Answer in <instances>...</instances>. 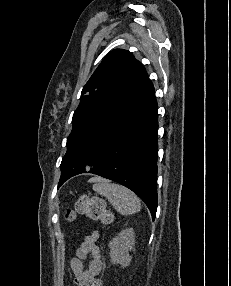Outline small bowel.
Wrapping results in <instances>:
<instances>
[{"label":"small bowel","instance_id":"obj_1","mask_svg":"<svg viewBox=\"0 0 231 286\" xmlns=\"http://www.w3.org/2000/svg\"><path fill=\"white\" fill-rule=\"evenodd\" d=\"M99 238L97 231L88 235L76 251L75 257L70 261V267L74 274V281L78 286H102L98 276L103 269L101 252L96 242ZM91 256L87 268H84L83 260Z\"/></svg>","mask_w":231,"mask_h":286}]
</instances>
